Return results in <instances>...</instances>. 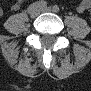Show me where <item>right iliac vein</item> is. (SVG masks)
<instances>
[{"label":"right iliac vein","instance_id":"63e3f726","mask_svg":"<svg viewBox=\"0 0 91 91\" xmlns=\"http://www.w3.org/2000/svg\"><path fill=\"white\" fill-rule=\"evenodd\" d=\"M29 14L31 18H36L39 15V10H33Z\"/></svg>","mask_w":91,"mask_h":91}]
</instances>
